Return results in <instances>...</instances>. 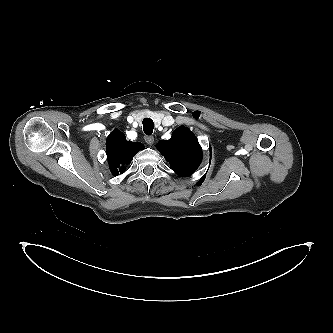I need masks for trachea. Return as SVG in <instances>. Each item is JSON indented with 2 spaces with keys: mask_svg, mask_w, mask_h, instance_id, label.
<instances>
[{
  "mask_svg": "<svg viewBox=\"0 0 333 333\" xmlns=\"http://www.w3.org/2000/svg\"><path fill=\"white\" fill-rule=\"evenodd\" d=\"M154 123L150 118H145L143 120V131L146 135H151L153 133Z\"/></svg>",
  "mask_w": 333,
  "mask_h": 333,
  "instance_id": "obj_1",
  "label": "trachea"
}]
</instances>
